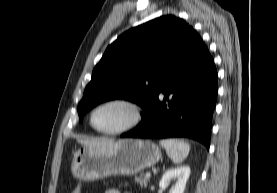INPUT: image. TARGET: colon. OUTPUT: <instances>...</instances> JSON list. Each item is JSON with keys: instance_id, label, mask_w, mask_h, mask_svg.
Instances as JSON below:
<instances>
[{"instance_id": "1", "label": "colon", "mask_w": 277, "mask_h": 193, "mask_svg": "<svg viewBox=\"0 0 277 193\" xmlns=\"http://www.w3.org/2000/svg\"><path fill=\"white\" fill-rule=\"evenodd\" d=\"M71 193H82L81 187L77 186Z\"/></svg>"}]
</instances>
